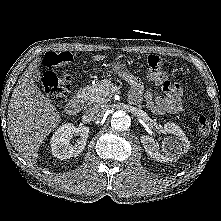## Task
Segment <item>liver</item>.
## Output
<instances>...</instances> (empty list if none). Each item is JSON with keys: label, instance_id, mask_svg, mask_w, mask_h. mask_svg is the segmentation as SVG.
<instances>
[{"label": "liver", "instance_id": "obj_1", "mask_svg": "<svg viewBox=\"0 0 221 221\" xmlns=\"http://www.w3.org/2000/svg\"><path fill=\"white\" fill-rule=\"evenodd\" d=\"M94 61L104 55L92 56ZM41 63L35 59L19 78L8 107V136L15 150L27 163L37 162L38 151L46 136L61 122L56 107L42 94L32 77Z\"/></svg>", "mask_w": 221, "mask_h": 221}]
</instances>
